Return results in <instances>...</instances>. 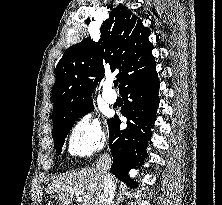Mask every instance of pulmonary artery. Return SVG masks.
I'll use <instances>...</instances> for the list:
<instances>
[{"mask_svg":"<svg viewBox=\"0 0 222 205\" xmlns=\"http://www.w3.org/2000/svg\"><path fill=\"white\" fill-rule=\"evenodd\" d=\"M111 83H107L105 88L102 91V96L104 100L110 104L114 103L117 100L116 93L110 88Z\"/></svg>","mask_w":222,"mask_h":205,"instance_id":"e3ab8cb5","label":"pulmonary artery"}]
</instances>
